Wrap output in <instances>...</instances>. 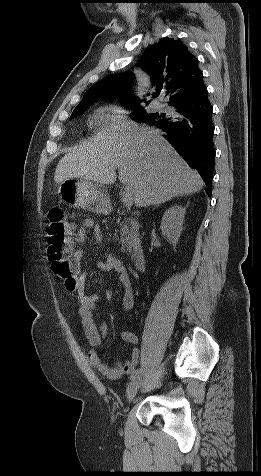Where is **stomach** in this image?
Here are the masks:
<instances>
[{
	"mask_svg": "<svg viewBox=\"0 0 261 476\" xmlns=\"http://www.w3.org/2000/svg\"><path fill=\"white\" fill-rule=\"evenodd\" d=\"M63 199L74 208L108 214L111 210L109 195L102 186L83 179H67L59 185Z\"/></svg>",
	"mask_w": 261,
	"mask_h": 476,
	"instance_id": "0dacf381",
	"label": "stomach"
}]
</instances>
